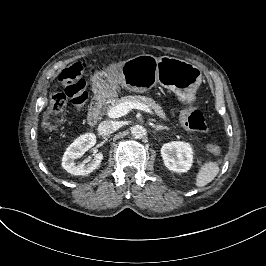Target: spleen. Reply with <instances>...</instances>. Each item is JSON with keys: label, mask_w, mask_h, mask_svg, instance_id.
<instances>
[{"label": "spleen", "mask_w": 266, "mask_h": 266, "mask_svg": "<svg viewBox=\"0 0 266 266\" xmlns=\"http://www.w3.org/2000/svg\"><path fill=\"white\" fill-rule=\"evenodd\" d=\"M219 166L217 162H208L201 166L196 176V186L203 187L210 183L218 174Z\"/></svg>", "instance_id": "1"}]
</instances>
